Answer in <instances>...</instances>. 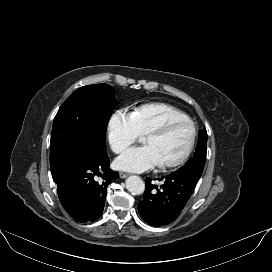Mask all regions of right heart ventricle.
<instances>
[{
  "instance_id": "e07e8e85",
  "label": "right heart ventricle",
  "mask_w": 272,
  "mask_h": 272,
  "mask_svg": "<svg viewBox=\"0 0 272 272\" xmlns=\"http://www.w3.org/2000/svg\"><path fill=\"white\" fill-rule=\"evenodd\" d=\"M132 114L141 134H146L151 129L170 120L189 119L188 115L178 108L160 102L141 105Z\"/></svg>"
}]
</instances>
